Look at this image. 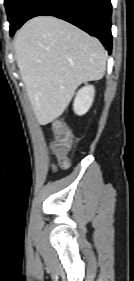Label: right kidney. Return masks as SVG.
Masks as SVG:
<instances>
[{"mask_svg": "<svg viewBox=\"0 0 134 281\" xmlns=\"http://www.w3.org/2000/svg\"><path fill=\"white\" fill-rule=\"evenodd\" d=\"M95 95V89L92 85H86L81 88L74 100L73 108L77 115H84L91 107Z\"/></svg>", "mask_w": 134, "mask_h": 281, "instance_id": "right-kidney-1", "label": "right kidney"}]
</instances>
